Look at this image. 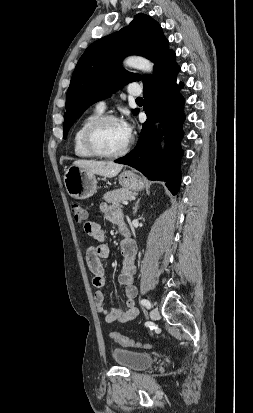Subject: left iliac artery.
I'll list each match as a JSON object with an SVG mask.
<instances>
[{"label":"left iliac artery","instance_id":"left-iliac-artery-1","mask_svg":"<svg viewBox=\"0 0 253 413\" xmlns=\"http://www.w3.org/2000/svg\"><path fill=\"white\" fill-rule=\"evenodd\" d=\"M140 304H141L142 306L146 307L147 309H150V308H151V303H150V301L147 300V299H142V300L140 301Z\"/></svg>","mask_w":253,"mask_h":413}]
</instances>
